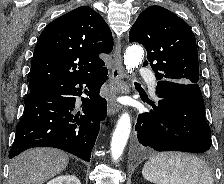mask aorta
Wrapping results in <instances>:
<instances>
[{"mask_svg":"<svg viewBox=\"0 0 224 184\" xmlns=\"http://www.w3.org/2000/svg\"><path fill=\"white\" fill-rule=\"evenodd\" d=\"M144 51L142 47L130 45L124 54V64L128 72L133 71L142 62ZM131 131V118L128 113H123L118 119L115 131L111 140V156L117 161L126 146Z\"/></svg>","mask_w":224,"mask_h":184,"instance_id":"aorta-1","label":"aorta"}]
</instances>
